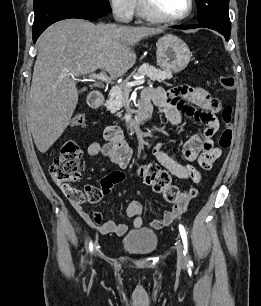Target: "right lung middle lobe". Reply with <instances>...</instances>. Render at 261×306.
Masks as SVG:
<instances>
[{
    "label": "right lung middle lobe",
    "instance_id": "obj_1",
    "mask_svg": "<svg viewBox=\"0 0 261 306\" xmlns=\"http://www.w3.org/2000/svg\"><path fill=\"white\" fill-rule=\"evenodd\" d=\"M56 1L78 3V4L89 5L92 7L100 8L109 12L111 11L109 0H56Z\"/></svg>",
    "mask_w": 261,
    "mask_h": 306
}]
</instances>
